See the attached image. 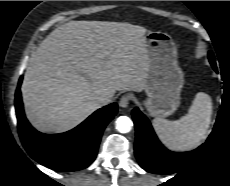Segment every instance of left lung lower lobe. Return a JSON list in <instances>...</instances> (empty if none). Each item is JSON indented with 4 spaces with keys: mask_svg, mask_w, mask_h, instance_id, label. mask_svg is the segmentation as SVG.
<instances>
[{
    "mask_svg": "<svg viewBox=\"0 0 230 186\" xmlns=\"http://www.w3.org/2000/svg\"><path fill=\"white\" fill-rule=\"evenodd\" d=\"M136 128L135 155L140 166L150 173L172 174L195 160L207 142L190 152L175 153L167 150L158 140L153 128L138 108L132 111ZM210 138V137H209Z\"/></svg>",
    "mask_w": 230,
    "mask_h": 186,
    "instance_id": "obj_1",
    "label": "left lung lower lobe"
}]
</instances>
